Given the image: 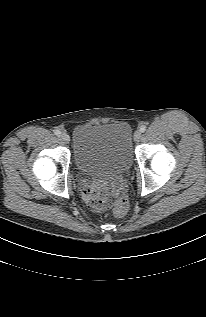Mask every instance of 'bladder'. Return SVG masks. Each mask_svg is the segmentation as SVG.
<instances>
[{
    "label": "bladder",
    "mask_w": 206,
    "mask_h": 317,
    "mask_svg": "<svg viewBox=\"0 0 206 317\" xmlns=\"http://www.w3.org/2000/svg\"><path fill=\"white\" fill-rule=\"evenodd\" d=\"M128 123L81 124L73 133L74 164L88 179L126 173L133 162Z\"/></svg>",
    "instance_id": "bladder-1"
}]
</instances>
